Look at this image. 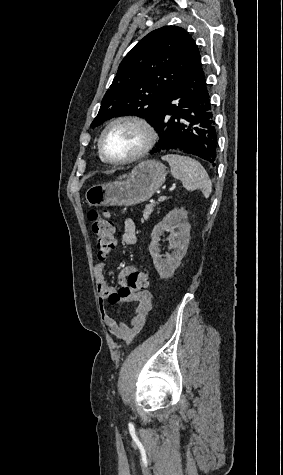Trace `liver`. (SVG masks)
Returning <instances> with one entry per match:
<instances>
[{"label": "liver", "mask_w": 283, "mask_h": 475, "mask_svg": "<svg viewBox=\"0 0 283 475\" xmlns=\"http://www.w3.org/2000/svg\"><path fill=\"white\" fill-rule=\"evenodd\" d=\"M122 178H126V174L125 176H119L118 180H122Z\"/></svg>", "instance_id": "obj_1"}]
</instances>
